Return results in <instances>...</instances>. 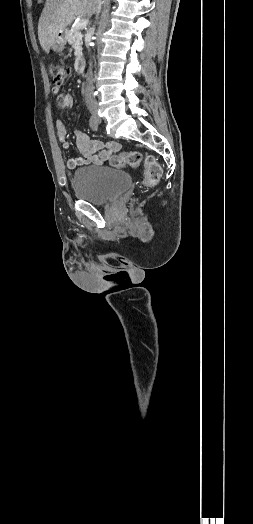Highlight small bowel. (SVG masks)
<instances>
[{"label":"small bowel","instance_id":"c3829d8e","mask_svg":"<svg viewBox=\"0 0 253 524\" xmlns=\"http://www.w3.org/2000/svg\"><path fill=\"white\" fill-rule=\"evenodd\" d=\"M52 92L56 96L60 108L66 109L73 105V97L70 94H63L60 87H53ZM55 126L57 138L60 144L65 150H69L70 143L67 138V131L64 122L59 119L56 121ZM75 138L80 156H71L67 159L66 165L69 169H74L78 166L91 163L95 165H103L109 160L112 154L118 152L121 148L118 142L92 140L82 131H76Z\"/></svg>","mask_w":253,"mask_h":524}]
</instances>
